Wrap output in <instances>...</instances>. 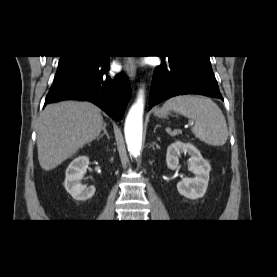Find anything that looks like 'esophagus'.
Returning a JSON list of instances; mask_svg holds the SVG:
<instances>
[{"label": "esophagus", "instance_id": "esophagus-1", "mask_svg": "<svg viewBox=\"0 0 277 277\" xmlns=\"http://www.w3.org/2000/svg\"><path fill=\"white\" fill-rule=\"evenodd\" d=\"M124 68L130 78H135L136 63L134 57H126L124 60Z\"/></svg>", "mask_w": 277, "mask_h": 277}]
</instances>
